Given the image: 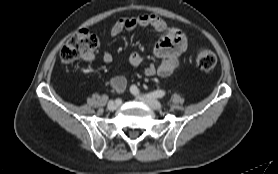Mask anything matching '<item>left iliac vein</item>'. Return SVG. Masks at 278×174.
<instances>
[{
    "mask_svg": "<svg viewBox=\"0 0 278 174\" xmlns=\"http://www.w3.org/2000/svg\"><path fill=\"white\" fill-rule=\"evenodd\" d=\"M137 99L144 102L145 104H147L149 107H151L154 110H159L162 107L161 103L155 99H150V98H146L143 96H137Z\"/></svg>",
    "mask_w": 278,
    "mask_h": 174,
    "instance_id": "1",
    "label": "left iliac vein"
}]
</instances>
